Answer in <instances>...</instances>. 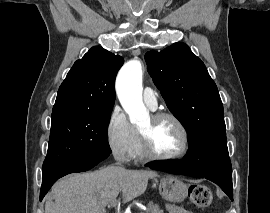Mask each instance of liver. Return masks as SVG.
Listing matches in <instances>:
<instances>
[{
	"mask_svg": "<svg viewBox=\"0 0 270 213\" xmlns=\"http://www.w3.org/2000/svg\"><path fill=\"white\" fill-rule=\"evenodd\" d=\"M151 170H120L109 166L94 172L72 174L58 181L45 202V213H106V207L122 193L127 203L143 194Z\"/></svg>",
	"mask_w": 270,
	"mask_h": 213,
	"instance_id": "1",
	"label": "liver"
}]
</instances>
